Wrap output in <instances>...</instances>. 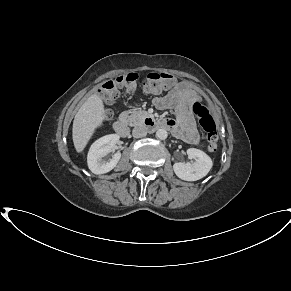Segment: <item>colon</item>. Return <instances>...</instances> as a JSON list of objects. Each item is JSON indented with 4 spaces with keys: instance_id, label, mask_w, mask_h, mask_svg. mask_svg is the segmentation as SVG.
<instances>
[{
    "instance_id": "colon-1",
    "label": "colon",
    "mask_w": 291,
    "mask_h": 291,
    "mask_svg": "<svg viewBox=\"0 0 291 291\" xmlns=\"http://www.w3.org/2000/svg\"><path fill=\"white\" fill-rule=\"evenodd\" d=\"M174 84L175 77L166 72H150L144 75L128 73L105 81L100 86V93L104 102L111 105L118 99L121 90L134 91L141 86L146 93L160 94L172 88ZM193 112L206 133L208 149L216 151L219 138L214 116L207 107L199 102L194 103ZM108 115L109 112L106 113V116Z\"/></svg>"
}]
</instances>
